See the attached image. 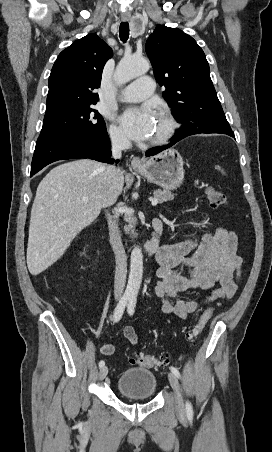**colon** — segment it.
<instances>
[{
	"label": "colon",
	"instance_id": "1",
	"mask_svg": "<svg viewBox=\"0 0 272 452\" xmlns=\"http://www.w3.org/2000/svg\"><path fill=\"white\" fill-rule=\"evenodd\" d=\"M206 202L209 207L213 209H220L227 205L228 200L226 195L213 186H208L205 190ZM212 313V308L203 309L200 312L198 322L194 329L188 334V338L191 341L196 340L204 328L206 327ZM129 362L132 365L143 367H159L168 363L167 359H159L153 355H135L129 358Z\"/></svg>",
	"mask_w": 272,
	"mask_h": 452
}]
</instances>
